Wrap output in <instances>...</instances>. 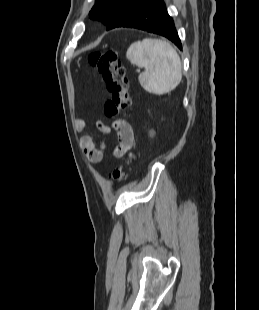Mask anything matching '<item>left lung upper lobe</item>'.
Returning a JSON list of instances; mask_svg holds the SVG:
<instances>
[{"mask_svg":"<svg viewBox=\"0 0 259 310\" xmlns=\"http://www.w3.org/2000/svg\"><path fill=\"white\" fill-rule=\"evenodd\" d=\"M150 0H96L89 12L93 20L101 21L107 30L114 28L119 21L132 9Z\"/></svg>","mask_w":259,"mask_h":310,"instance_id":"obj_1","label":"left lung upper lobe"}]
</instances>
